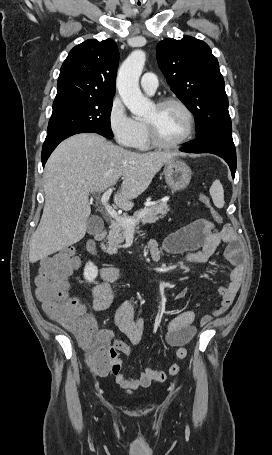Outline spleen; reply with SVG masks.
Here are the masks:
<instances>
[{
	"label": "spleen",
	"instance_id": "obj_1",
	"mask_svg": "<svg viewBox=\"0 0 272 455\" xmlns=\"http://www.w3.org/2000/svg\"><path fill=\"white\" fill-rule=\"evenodd\" d=\"M210 195L217 208L224 207V189L219 180H215L210 188Z\"/></svg>",
	"mask_w": 272,
	"mask_h": 455
}]
</instances>
